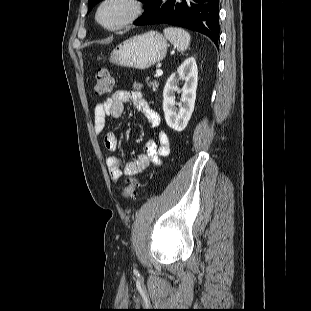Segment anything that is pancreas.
<instances>
[{
  "label": "pancreas",
  "instance_id": "cf45deb5",
  "mask_svg": "<svg viewBox=\"0 0 311 311\" xmlns=\"http://www.w3.org/2000/svg\"><path fill=\"white\" fill-rule=\"evenodd\" d=\"M149 86L152 88V90L155 92L158 89L159 82L157 80L150 81Z\"/></svg>",
  "mask_w": 311,
  "mask_h": 311
}]
</instances>
